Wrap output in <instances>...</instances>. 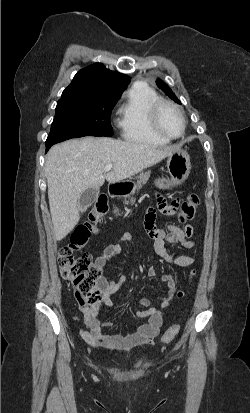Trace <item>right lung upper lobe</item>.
<instances>
[{
	"instance_id": "1",
	"label": "right lung upper lobe",
	"mask_w": 250,
	"mask_h": 413,
	"mask_svg": "<svg viewBox=\"0 0 250 413\" xmlns=\"http://www.w3.org/2000/svg\"><path fill=\"white\" fill-rule=\"evenodd\" d=\"M129 81L127 75L110 71L103 64L95 63L80 70L67 88L121 95Z\"/></svg>"
}]
</instances>
